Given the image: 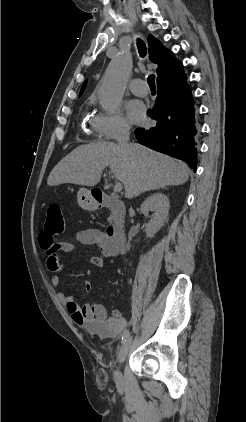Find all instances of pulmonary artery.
I'll list each match as a JSON object with an SVG mask.
<instances>
[{"label":"pulmonary artery","mask_w":246,"mask_h":422,"mask_svg":"<svg viewBox=\"0 0 246 422\" xmlns=\"http://www.w3.org/2000/svg\"><path fill=\"white\" fill-rule=\"evenodd\" d=\"M129 88L137 96L144 97L148 94V87L144 80L136 78L130 81Z\"/></svg>","instance_id":"1"}]
</instances>
